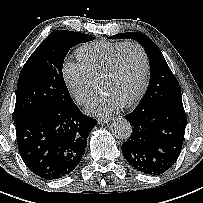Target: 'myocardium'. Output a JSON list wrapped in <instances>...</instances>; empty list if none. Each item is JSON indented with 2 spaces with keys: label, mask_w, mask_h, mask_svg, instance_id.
I'll return each mask as SVG.
<instances>
[{
  "label": "myocardium",
  "mask_w": 203,
  "mask_h": 203,
  "mask_svg": "<svg viewBox=\"0 0 203 203\" xmlns=\"http://www.w3.org/2000/svg\"><path fill=\"white\" fill-rule=\"evenodd\" d=\"M128 47H135L139 50V52L141 53L142 58H143L144 71H143V77H142V81H141L138 91L132 98H130L125 103H123L124 106H131V105L135 104L137 101H139L142 98V96L144 95V92L146 90L148 80H149V75H150V61H149V57H148V54H147L145 48L136 41L125 42L113 54L110 61L108 62L106 67L103 69V71L99 77V87L101 88L102 83L115 71L117 64L119 62V59L121 57V54Z\"/></svg>",
  "instance_id": "f54148a6"
}]
</instances>
